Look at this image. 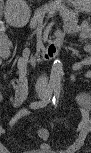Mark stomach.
I'll return each mask as SVG.
<instances>
[{
	"label": "stomach",
	"mask_w": 91,
	"mask_h": 153,
	"mask_svg": "<svg viewBox=\"0 0 91 153\" xmlns=\"http://www.w3.org/2000/svg\"><path fill=\"white\" fill-rule=\"evenodd\" d=\"M72 4L78 8L86 7L90 5L89 0H72Z\"/></svg>",
	"instance_id": "1"
}]
</instances>
